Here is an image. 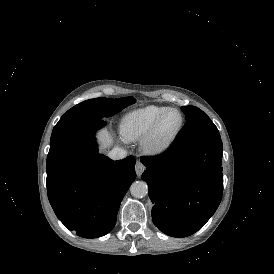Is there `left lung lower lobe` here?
Listing matches in <instances>:
<instances>
[{"label": "left lung lower lobe", "mask_w": 274, "mask_h": 274, "mask_svg": "<svg viewBox=\"0 0 274 274\" xmlns=\"http://www.w3.org/2000/svg\"><path fill=\"white\" fill-rule=\"evenodd\" d=\"M220 137L175 142L157 156L141 157L154 204L152 221L172 237L198 231L214 214L223 193Z\"/></svg>", "instance_id": "0a47b994"}]
</instances>
